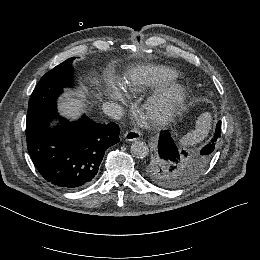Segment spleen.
Instances as JSON below:
<instances>
[{"label":"spleen","instance_id":"3e777b00","mask_svg":"<svg viewBox=\"0 0 260 260\" xmlns=\"http://www.w3.org/2000/svg\"><path fill=\"white\" fill-rule=\"evenodd\" d=\"M211 124V116L208 113H203L196 121L195 130H191L180 141L182 145L195 144L207 135Z\"/></svg>","mask_w":260,"mask_h":260}]
</instances>
